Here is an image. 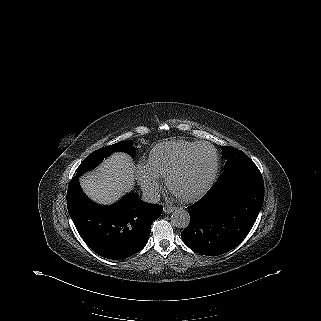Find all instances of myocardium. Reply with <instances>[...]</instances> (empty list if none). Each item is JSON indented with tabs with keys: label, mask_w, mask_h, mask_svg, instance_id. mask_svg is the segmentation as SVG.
<instances>
[{
	"label": "myocardium",
	"mask_w": 321,
	"mask_h": 321,
	"mask_svg": "<svg viewBox=\"0 0 321 321\" xmlns=\"http://www.w3.org/2000/svg\"><path fill=\"white\" fill-rule=\"evenodd\" d=\"M201 147H209L214 154V169H213V173L209 179V181L197 192L187 195V196H182V195H178L176 194L173 190H172V180L173 178L179 174L181 171H183L187 165L189 164L191 158L193 157V155L195 154V152L201 148ZM218 170H219V156L218 153L215 149V147L207 142H200L198 143L188 154H186L184 156V158L179 161L177 164H175L166 174L165 176V182H166V186L168 191L177 199L184 201V202H189V201H193L197 198H199L200 196H202L203 194H205L211 187L212 185L215 183L217 175H218Z\"/></svg>",
	"instance_id": "obj_1"
}]
</instances>
